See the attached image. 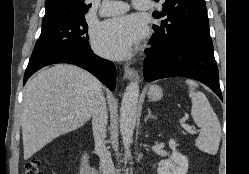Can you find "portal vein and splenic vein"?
<instances>
[{
    "mask_svg": "<svg viewBox=\"0 0 249 174\" xmlns=\"http://www.w3.org/2000/svg\"><path fill=\"white\" fill-rule=\"evenodd\" d=\"M188 117H189L188 115H185V117L182 118V120L180 121L181 126H182L186 131H188L189 133L195 134L196 132L191 128V126H189V125H187V124L185 123V121L188 119Z\"/></svg>",
    "mask_w": 249,
    "mask_h": 174,
    "instance_id": "portal-vein-and-splenic-vein-1",
    "label": "portal vein and splenic vein"
}]
</instances>
